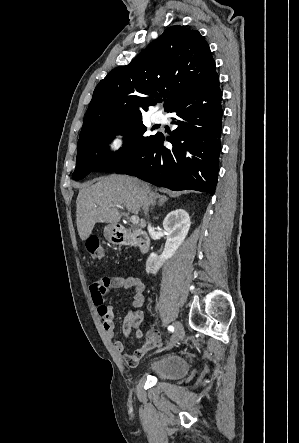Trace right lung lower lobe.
Wrapping results in <instances>:
<instances>
[{
	"label": "right lung lower lobe",
	"mask_w": 299,
	"mask_h": 443,
	"mask_svg": "<svg viewBox=\"0 0 299 443\" xmlns=\"http://www.w3.org/2000/svg\"><path fill=\"white\" fill-rule=\"evenodd\" d=\"M222 93L217 73L201 88L182 98L167 112L178 127L167 141L158 133L146 151L116 171L171 190L214 194L221 149Z\"/></svg>",
	"instance_id": "obj_1"
}]
</instances>
